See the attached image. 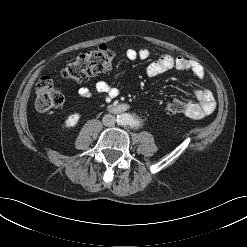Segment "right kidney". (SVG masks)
Segmentation results:
<instances>
[{"label":"right kidney","instance_id":"obj_1","mask_svg":"<svg viewBox=\"0 0 247 247\" xmlns=\"http://www.w3.org/2000/svg\"><path fill=\"white\" fill-rule=\"evenodd\" d=\"M79 119H80V114L78 113L71 114L65 121V124L67 127H74L77 125Z\"/></svg>","mask_w":247,"mask_h":247}]
</instances>
